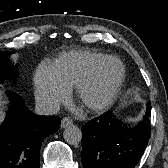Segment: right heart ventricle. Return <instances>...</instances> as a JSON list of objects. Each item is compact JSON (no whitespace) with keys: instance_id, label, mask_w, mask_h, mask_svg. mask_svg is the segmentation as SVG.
<instances>
[{"instance_id":"right-heart-ventricle-1","label":"right heart ventricle","mask_w":168,"mask_h":168,"mask_svg":"<svg viewBox=\"0 0 168 168\" xmlns=\"http://www.w3.org/2000/svg\"><path fill=\"white\" fill-rule=\"evenodd\" d=\"M105 57L107 55L90 50L71 51L61 55L51 67L58 80L70 90Z\"/></svg>"}]
</instances>
